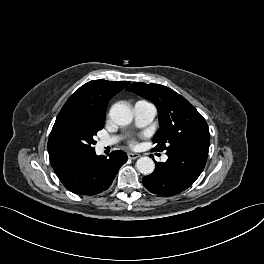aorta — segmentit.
<instances>
[{"label":"aorta","instance_id":"1","mask_svg":"<svg viewBox=\"0 0 264 264\" xmlns=\"http://www.w3.org/2000/svg\"><path fill=\"white\" fill-rule=\"evenodd\" d=\"M110 119L117 125H128L133 120V113L131 108L124 103L114 104L109 112ZM137 170L144 174L149 175L154 171L155 164L150 157H141L136 162Z\"/></svg>","mask_w":264,"mask_h":264}]
</instances>
